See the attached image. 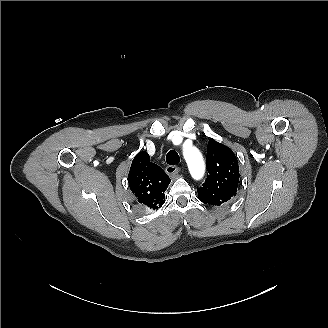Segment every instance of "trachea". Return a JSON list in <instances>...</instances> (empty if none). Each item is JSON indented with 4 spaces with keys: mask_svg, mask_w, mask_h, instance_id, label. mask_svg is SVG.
<instances>
[{
    "mask_svg": "<svg viewBox=\"0 0 328 328\" xmlns=\"http://www.w3.org/2000/svg\"><path fill=\"white\" fill-rule=\"evenodd\" d=\"M180 161V157L175 150H170L166 155V162L169 165H177Z\"/></svg>",
    "mask_w": 328,
    "mask_h": 328,
    "instance_id": "1",
    "label": "trachea"
}]
</instances>
